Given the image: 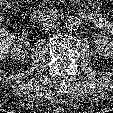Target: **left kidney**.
<instances>
[{"mask_svg":"<svg viewBox=\"0 0 113 113\" xmlns=\"http://www.w3.org/2000/svg\"><path fill=\"white\" fill-rule=\"evenodd\" d=\"M95 44L100 55L113 57V41L109 37L98 35L96 36Z\"/></svg>","mask_w":113,"mask_h":113,"instance_id":"left-kidney-1","label":"left kidney"}]
</instances>
